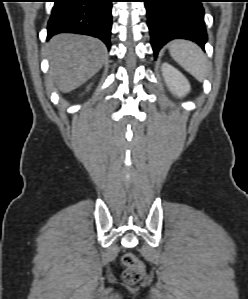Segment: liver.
<instances>
[{"instance_id": "liver-1", "label": "liver", "mask_w": 248, "mask_h": 299, "mask_svg": "<svg viewBox=\"0 0 248 299\" xmlns=\"http://www.w3.org/2000/svg\"><path fill=\"white\" fill-rule=\"evenodd\" d=\"M49 76L61 92H70L96 74L107 49L99 39L76 34H59L47 45Z\"/></svg>"}]
</instances>
